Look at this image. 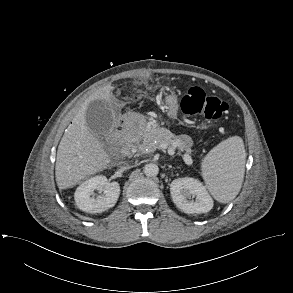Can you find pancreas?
<instances>
[{"instance_id":"pancreas-1","label":"pancreas","mask_w":293,"mask_h":293,"mask_svg":"<svg viewBox=\"0 0 293 293\" xmlns=\"http://www.w3.org/2000/svg\"><path fill=\"white\" fill-rule=\"evenodd\" d=\"M169 138H171V140H169ZM137 141H142V143L138 145V152L146 154L154 152L162 142L170 145L174 141H180V137L173 136L166 129L160 127H151L140 131ZM179 148L182 151H185L187 155L191 154L190 147L180 144Z\"/></svg>"}]
</instances>
